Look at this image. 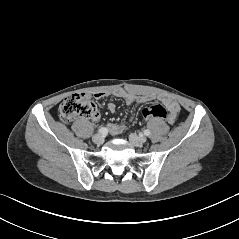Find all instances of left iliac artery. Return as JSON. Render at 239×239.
Wrapping results in <instances>:
<instances>
[{
  "label": "left iliac artery",
  "instance_id": "obj_1",
  "mask_svg": "<svg viewBox=\"0 0 239 239\" xmlns=\"http://www.w3.org/2000/svg\"><path fill=\"white\" fill-rule=\"evenodd\" d=\"M144 135H145V136H149V135H150V131H149V130H145V131H144Z\"/></svg>",
  "mask_w": 239,
  "mask_h": 239
}]
</instances>
